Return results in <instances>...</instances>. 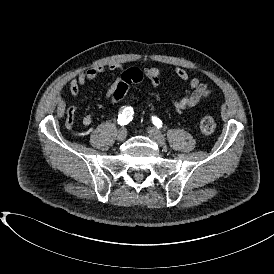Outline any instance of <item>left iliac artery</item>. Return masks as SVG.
<instances>
[{"label": "left iliac artery", "mask_w": 274, "mask_h": 274, "mask_svg": "<svg viewBox=\"0 0 274 274\" xmlns=\"http://www.w3.org/2000/svg\"><path fill=\"white\" fill-rule=\"evenodd\" d=\"M152 122L157 128L162 127V121L159 118H157L156 116L152 117Z\"/></svg>", "instance_id": "obj_1"}]
</instances>
